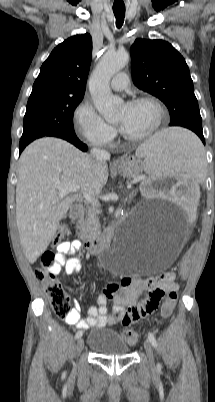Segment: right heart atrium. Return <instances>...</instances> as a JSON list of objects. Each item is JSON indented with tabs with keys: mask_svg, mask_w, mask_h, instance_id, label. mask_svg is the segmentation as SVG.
I'll return each instance as SVG.
<instances>
[{
	"mask_svg": "<svg viewBox=\"0 0 215 402\" xmlns=\"http://www.w3.org/2000/svg\"><path fill=\"white\" fill-rule=\"evenodd\" d=\"M78 135L95 146H108L116 136L112 125L107 123L87 100L82 101L74 112Z\"/></svg>",
	"mask_w": 215,
	"mask_h": 402,
	"instance_id": "d8ad5b80",
	"label": "right heart atrium"
}]
</instances>
